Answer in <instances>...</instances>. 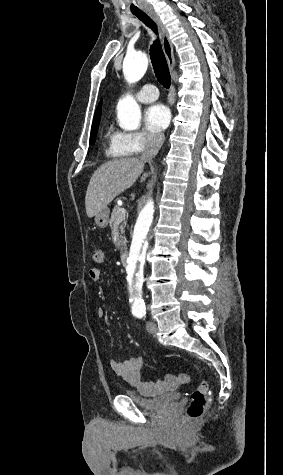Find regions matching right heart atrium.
I'll use <instances>...</instances> for the list:
<instances>
[{"instance_id":"obj_1","label":"right heart atrium","mask_w":283,"mask_h":475,"mask_svg":"<svg viewBox=\"0 0 283 475\" xmlns=\"http://www.w3.org/2000/svg\"><path fill=\"white\" fill-rule=\"evenodd\" d=\"M162 137L148 131L118 132L112 142L111 151L115 157L124 159L125 155H146L158 150Z\"/></svg>"}]
</instances>
